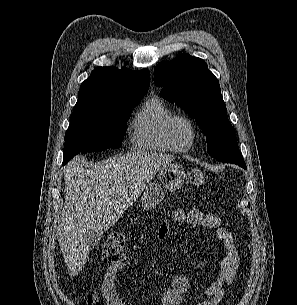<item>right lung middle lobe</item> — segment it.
Here are the masks:
<instances>
[{"instance_id": "right-lung-middle-lobe-1", "label": "right lung middle lobe", "mask_w": 297, "mask_h": 305, "mask_svg": "<svg viewBox=\"0 0 297 305\" xmlns=\"http://www.w3.org/2000/svg\"><path fill=\"white\" fill-rule=\"evenodd\" d=\"M142 98H130L106 105L74 107L65 134L63 165L79 152L119 148L127 130L130 109Z\"/></svg>"}]
</instances>
